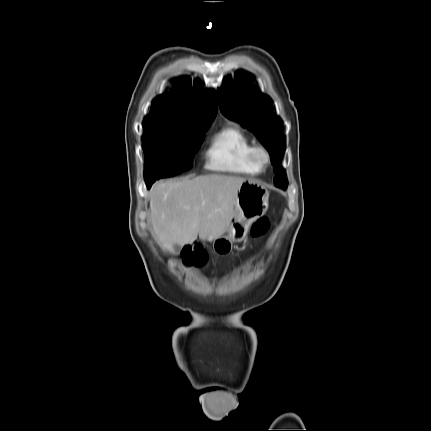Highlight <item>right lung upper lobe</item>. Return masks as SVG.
<instances>
[{
	"label": "right lung upper lobe",
	"instance_id": "obj_1",
	"mask_svg": "<svg viewBox=\"0 0 431 431\" xmlns=\"http://www.w3.org/2000/svg\"><path fill=\"white\" fill-rule=\"evenodd\" d=\"M217 113L216 93L181 77L170 92L156 97L144 122H162L192 128L210 126Z\"/></svg>",
	"mask_w": 431,
	"mask_h": 431
}]
</instances>
